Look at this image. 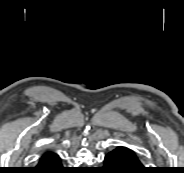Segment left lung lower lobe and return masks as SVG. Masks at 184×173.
Listing matches in <instances>:
<instances>
[{
    "mask_svg": "<svg viewBox=\"0 0 184 173\" xmlns=\"http://www.w3.org/2000/svg\"><path fill=\"white\" fill-rule=\"evenodd\" d=\"M106 173H147L138 155L125 146H117L104 158Z\"/></svg>",
    "mask_w": 184,
    "mask_h": 173,
    "instance_id": "1",
    "label": "left lung lower lobe"
}]
</instances>
